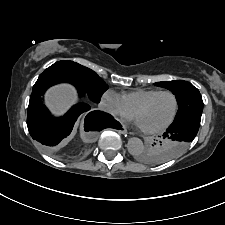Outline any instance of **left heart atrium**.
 Returning <instances> with one entry per match:
<instances>
[{"mask_svg": "<svg viewBox=\"0 0 225 225\" xmlns=\"http://www.w3.org/2000/svg\"><path fill=\"white\" fill-rule=\"evenodd\" d=\"M136 125H137L138 127L142 128L141 125H140V123L138 122L137 119H136Z\"/></svg>", "mask_w": 225, "mask_h": 225, "instance_id": "39dd6f15", "label": "left heart atrium"}]
</instances>
